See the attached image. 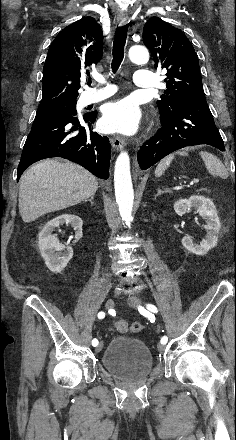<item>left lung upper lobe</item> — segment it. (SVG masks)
<instances>
[{
    "label": "left lung upper lobe",
    "instance_id": "obj_1",
    "mask_svg": "<svg viewBox=\"0 0 236 440\" xmlns=\"http://www.w3.org/2000/svg\"><path fill=\"white\" fill-rule=\"evenodd\" d=\"M143 40L155 68L167 70V90L157 101L161 117L170 116L186 99L205 96L197 54L179 29L159 17H151L144 25Z\"/></svg>",
    "mask_w": 236,
    "mask_h": 440
}]
</instances>
